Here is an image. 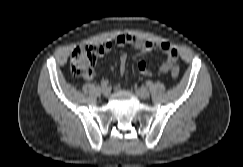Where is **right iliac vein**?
<instances>
[{"instance_id": "obj_1", "label": "right iliac vein", "mask_w": 243, "mask_h": 167, "mask_svg": "<svg viewBox=\"0 0 243 167\" xmlns=\"http://www.w3.org/2000/svg\"><path fill=\"white\" fill-rule=\"evenodd\" d=\"M101 93L103 96L108 97L110 95V88L105 86L101 88Z\"/></svg>"}]
</instances>
